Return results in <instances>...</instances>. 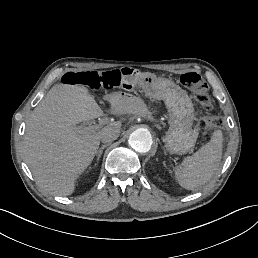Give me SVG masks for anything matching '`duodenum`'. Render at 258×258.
<instances>
[{
	"label": "duodenum",
	"instance_id": "1",
	"mask_svg": "<svg viewBox=\"0 0 258 258\" xmlns=\"http://www.w3.org/2000/svg\"><path fill=\"white\" fill-rule=\"evenodd\" d=\"M120 77L123 80L130 81L136 76V72L131 67H123L118 70Z\"/></svg>",
	"mask_w": 258,
	"mask_h": 258
}]
</instances>
